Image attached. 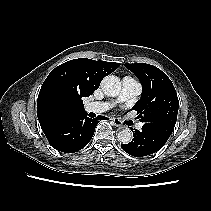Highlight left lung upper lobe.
I'll return each mask as SVG.
<instances>
[{
    "mask_svg": "<svg viewBox=\"0 0 211 211\" xmlns=\"http://www.w3.org/2000/svg\"><path fill=\"white\" fill-rule=\"evenodd\" d=\"M124 66L142 83L141 99L132 108L144 123L142 129L167 141L174 130L179 108L171 80L153 65L125 63Z\"/></svg>",
    "mask_w": 211,
    "mask_h": 211,
    "instance_id": "1",
    "label": "left lung upper lobe"
}]
</instances>
